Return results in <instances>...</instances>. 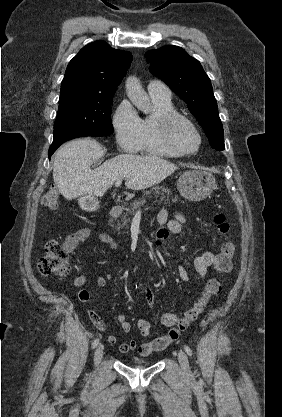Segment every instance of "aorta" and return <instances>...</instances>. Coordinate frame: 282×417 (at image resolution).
<instances>
[{"label": "aorta", "mask_w": 282, "mask_h": 417, "mask_svg": "<svg viewBox=\"0 0 282 417\" xmlns=\"http://www.w3.org/2000/svg\"><path fill=\"white\" fill-rule=\"evenodd\" d=\"M126 92L129 100L143 112H150V98L144 90L142 84H140L137 76H128L125 82Z\"/></svg>", "instance_id": "aorta-1"}]
</instances>
